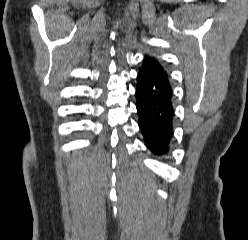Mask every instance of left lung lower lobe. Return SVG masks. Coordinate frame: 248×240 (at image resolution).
<instances>
[{"label":"left lung lower lobe","mask_w":248,"mask_h":240,"mask_svg":"<svg viewBox=\"0 0 248 240\" xmlns=\"http://www.w3.org/2000/svg\"><path fill=\"white\" fill-rule=\"evenodd\" d=\"M139 128L145 145L155 155H164L174 133L173 91L169 76L154 58L146 57L136 85Z\"/></svg>","instance_id":"1"}]
</instances>
